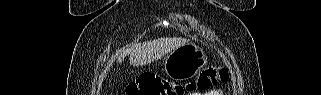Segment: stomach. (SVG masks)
I'll list each match as a JSON object with an SVG mask.
<instances>
[{
    "label": "stomach",
    "mask_w": 321,
    "mask_h": 95,
    "mask_svg": "<svg viewBox=\"0 0 321 95\" xmlns=\"http://www.w3.org/2000/svg\"><path fill=\"white\" fill-rule=\"evenodd\" d=\"M207 63L206 53L199 46L187 43L166 57L164 71L171 80H187L196 76Z\"/></svg>",
    "instance_id": "obj_1"
}]
</instances>
